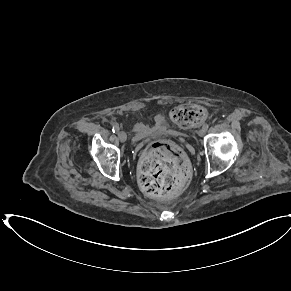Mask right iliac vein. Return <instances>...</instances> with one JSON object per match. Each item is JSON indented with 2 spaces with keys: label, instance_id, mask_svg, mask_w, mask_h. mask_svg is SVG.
<instances>
[{
  "label": "right iliac vein",
  "instance_id": "right-iliac-vein-1",
  "mask_svg": "<svg viewBox=\"0 0 291 291\" xmlns=\"http://www.w3.org/2000/svg\"><path fill=\"white\" fill-rule=\"evenodd\" d=\"M119 140L123 143L127 140V134L124 131L118 133Z\"/></svg>",
  "mask_w": 291,
  "mask_h": 291
}]
</instances>
